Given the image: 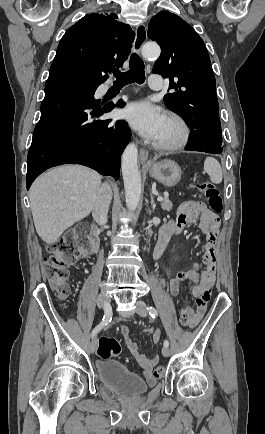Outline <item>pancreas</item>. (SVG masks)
Segmentation results:
<instances>
[{
    "mask_svg": "<svg viewBox=\"0 0 265 434\" xmlns=\"http://www.w3.org/2000/svg\"><path fill=\"white\" fill-rule=\"evenodd\" d=\"M161 208L162 210H167V212H170L172 210V202L168 200V198H164L161 202Z\"/></svg>",
    "mask_w": 265,
    "mask_h": 434,
    "instance_id": "1",
    "label": "pancreas"
}]
</instances>
